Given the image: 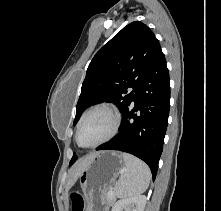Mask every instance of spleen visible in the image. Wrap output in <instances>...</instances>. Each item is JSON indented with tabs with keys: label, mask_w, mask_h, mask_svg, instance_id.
<instances>
[{
	"label": "spleen",
	"mask_w": 221,
	"mask_h": 211,
	"mask_svg": "<svg viewBox=\"0 0 221 211\" xmlns=\"http://www.w3.org/2000/svg\"><path fill=\"white\" fill-rule=\"evenodd\" d=\"M126 170L123 172L114 187L118 198L135 197L145 192L149 186L151 172L149 167L138 158L123 153Z\"/></svg>",
	"instance_id": "obj_1"
}]
</instances>
